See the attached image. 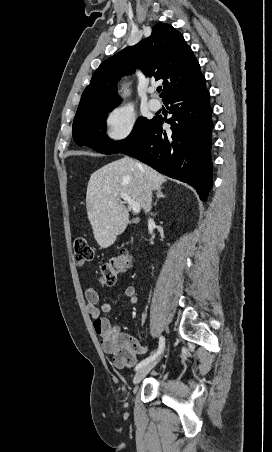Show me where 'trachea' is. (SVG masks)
<instances>
[{"instance_id": "1", "label": "trachea", "mask_w": 272, "mask_h": 452, "mask_svg": "<svg viewBox=\"0 0 272 452\" xmlns=\"http://www.w3.org/2000/svg\"><path fill=\"white\" fill-rule=\"evenodd\" d=\"M161 90H162V88H161V87L157 88V91H158V92H161Z\"/></svg>"}]
</instances>
